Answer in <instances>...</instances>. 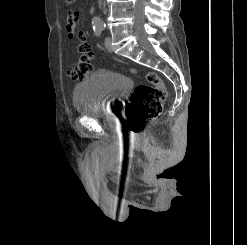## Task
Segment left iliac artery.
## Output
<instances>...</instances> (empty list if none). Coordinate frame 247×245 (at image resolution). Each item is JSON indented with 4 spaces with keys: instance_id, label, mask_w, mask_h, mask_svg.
I'll list each match as a JSON object with an SVG mask.
<instances>
[{
    "instance_id": "1",
    "label": "left iliac artery",
    "mask_w": 247,
    "mask_h": 245,
    "mask_svg": "<svg viewBox=\"0 0 247 245\" xmlns=\"http://www.w3.org/2000/svg\"><path fill=\"white\" fill-rule=\"evenodd\" d=\"M97 27L101 28L102 30L105 28V24L101 23V24H98Z\"/></svg>"
}]
</instances>
